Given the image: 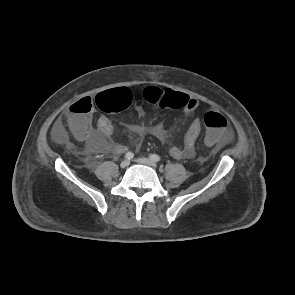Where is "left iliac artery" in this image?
<instances>
[{
    "instance_id": "44dca946",
    "label": "left iliac artery",
    "mask_w": 295,
    "mask_h": 295,
    "mask_svg": "<svg viewBox=\"0 0 295 295\" xmlns=\"http://www.w3.org/2000/svg\"><path fill=\"white\" fill-rule=\"evenodd\" d=\"M149 158L154 162H159L161 160L160 156H158L157 154H151Z\"/></svg>"
}]
</instances>
